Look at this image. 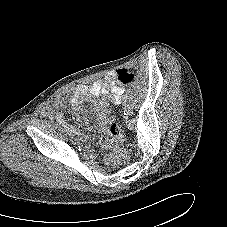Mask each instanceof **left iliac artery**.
I'll use <instances>...</instances> for the list:
<instances>
[{
  "label": "left iliac artery",
  "mask_w": 227,
  "mask_h": 227,
  "mask_svg": "<svg viewBox=\"0 0 227 227\" xmlns=\"http://www.w3.org/2000/svg\"><path fill=\"white\" fill-rule=\"evenodd\" d=\"M123 103L126 104L128 101H127V97L126 96H123Z\"/></svg>",
  "instance_id": "1"
}]
</instances>
